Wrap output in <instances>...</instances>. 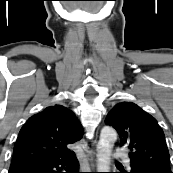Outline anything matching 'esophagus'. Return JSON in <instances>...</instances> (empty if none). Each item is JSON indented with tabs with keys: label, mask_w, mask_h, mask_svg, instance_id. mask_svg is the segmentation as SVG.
<instances>
[{
	"label": "esophagus",
	"mask_w": 173,
	"mask_h": 173,
	"mask_svg": "<svg viewBox=\"0 0 173 173\" xmlns=\"http://www.w3.org/2000/svg\"><path fill=\"white\" fill-rule=\"evenodd\" d=\"M87 157L88 160L91 162V167L94 168V164H93V157H94V152L92 151H87Z\"/></svg>",
	"instance_id": "34e87169"
}]
</instances>
